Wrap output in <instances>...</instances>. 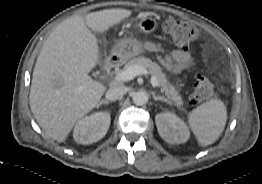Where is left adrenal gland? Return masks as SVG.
I'll list each match as a JSON object with an SVG mask.
<instances>
[{
  "mask_svg": "<svg viewBox=\"0 0 262 184\" xmlns=\"http://www.w3.org/2000/svg\"><path fill=\"white\" fill-rule=\"evenodd\" d=\"M153 99L154 100L164 101V102H167L168 104H171V102L168 99H166V98H164L162 96H156L155 93H153Z\"/></svg>",
  "mask_w": 262,
  "mask_h": 184,
  "instance_id": "a2214340",
  "label": "left adrenal gland"
}]
</instances>
